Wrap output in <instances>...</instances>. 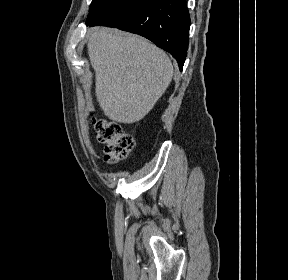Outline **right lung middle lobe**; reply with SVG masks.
<instances>
[{
  "mask_svg": "<svg viewBox=\"0 0 288 280\" xmlns=\"http://www.w3.org/2000/svg\"><path fill=\"white\" fill-rule=\"evenodd\" d=\"M116 0H93L90 5V11L87 21L93 19L103 8L115 2Z\"/></svg>",
  "mask_w": 288,
  "mask_h": 280,
  "instance_id": "dd1d6c3e",
  "label": "right lung middle lobe"
}]
</instances>
